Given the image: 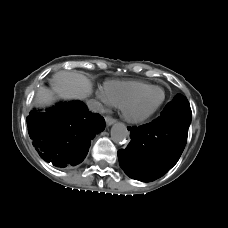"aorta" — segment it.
<instances>
[{
    "mask_svg": "<svg viewBox=\"0 0 228 228\" xmlns=\"http://www.w3.org/2000/svg\"><path fill=\"white\" fill-rule=\"evenodd\" d=\"M129 138V131L123 123H116L111 128V139L116 144H125Z\"/></svg>",
    "mask_w": 228,
    "mask_h": 228,
    "instance_id": "aorta-1",
    "label": "aorta"
}]
</instances>
